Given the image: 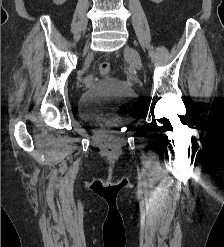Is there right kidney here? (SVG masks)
Returning a JSON list of instances; mask_svg holds the SVG:
<instances>
[{"label":"right kidney","mask_w":224,"mask_h":247,"mask_svg":"<svg viewBox=\"0 0 224 247\" xmlns=\"http://www.w3.org/2000/svg\"><path fill=\"white\" fill-rule=\"evenodd\" d=\"M54 4H56V6H61V4H64V2H66V0H53Z\"/></svg>","instance_id":"right-kidney-1"}]
</instances>
